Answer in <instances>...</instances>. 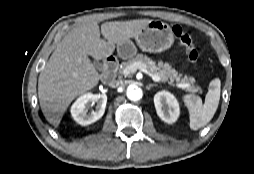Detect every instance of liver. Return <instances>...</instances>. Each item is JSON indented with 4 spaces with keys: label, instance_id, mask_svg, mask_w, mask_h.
Instances as JSON below:
<instances>
[{
    "label": "liver",
    "instance_id": "6515ba94",
    "mask_svg": "<svg viewBox=\"0 0 254 174\" xmlns=\"http://www.w3.org/2000/svg\"><path fill=\"white\" fill-rule=\"evenodd\" d=\"M152 20L95 21L73 28L57 45L38 79V98L47 121L57 127L70 103L94 88L100 79L88 55L103 60L115 45L135 38Z\"/></svg>",
    "mask_w": 254,
    "mask_h": 174
}]
</instances>
